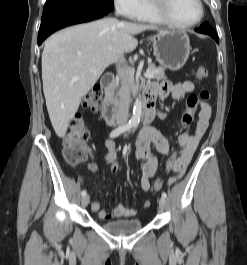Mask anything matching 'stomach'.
I'll return each instance as SVG.
<instances>
[{
    "mask_svg": "<svg viewBox=\"0 0 247 265\" xmlns=\"http://www.w3.org/2000/svg\"><path fill=\"white\" fill-rule=\"evenodd\" d=\"M153 50L159 64L172 71L181 69L190 54L188 35L179 30L158 33L151 37Z\"/></svg>",
    "mask_w": 247,
    "mask_h": 265,
    "instance_id": "0dacf381",
    "label": "stomach"
}]
</instances>
